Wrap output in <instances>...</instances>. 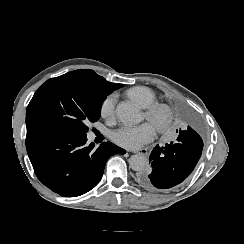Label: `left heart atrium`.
I'll use <instances>...</instances> for the list:
<instances>
[{
  "label": "left heart atrium",
  "instance_id": "1",
  "mask_svg": "<svg viewBox=\"0 0 244 244\" xmlns=\"http://www.w3.org/2000/svg\"><path fill=\"white\" fill-rule=\"evenodd\" d=\"M113 141L128 149H138L156 138V129L150 123L135 127H124L113 133Z\"/></svg>",
  "mask_w": 244,
  "mask_h": 244
}]
</instances>
